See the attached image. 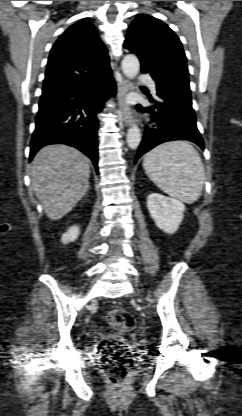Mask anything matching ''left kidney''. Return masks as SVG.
Here are the masks:
<instances>
[{"label": "left kidney", "mask_w": 242, "mask_h": 416, "mask_svg": "<svg viewBox=\"0 0 242 416\" xmlns=\"http://www.w3.org/2000/svg\"><path fill=\"white\" fill-rule=\"evenodd\" d=\"M147 207L159 229L168 234H173L178 230L185 211V206L181 201L159 193H151L147 199Z\"/></svg>", "instance_id": "1"}]
</instances>
